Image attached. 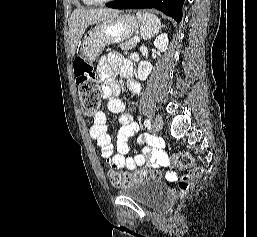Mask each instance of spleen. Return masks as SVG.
<instances>
[{"label":"spleen","mask_w":257,"mask_h":237,"mask_svg":"<svg viewBox=\"0 0 257 237\" xmlns=\"http://www.w3.org/2000/svg\"><path fill=\"white\" fill-rule=\"evenodd\" d=\"M136 16L141 22L140 34L142 38L150 39L159 32L161 21L157 16L147 12H137Z\"/></svg>","instance_id":"1"}]
</instances>
